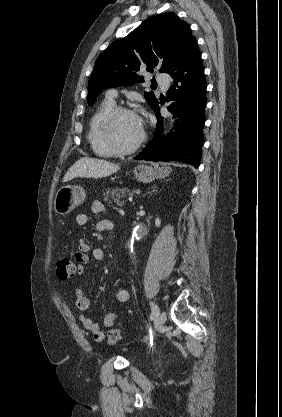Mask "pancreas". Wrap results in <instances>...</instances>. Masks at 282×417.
Here are the masks:
<instances>
[{
	"label": "pancreas",
	"instance_id": "cf45deb5",
	"mask_svg": "<svg viewBox=\"0 0 282 417\" xmlns=\"http://www.w3.org/2000/svg\"><path fill=\"white\" fill-rule=\"evenodd\" d=\"M103 194L104 200H112V202H116L118 206H122V204H124L123 198H126L128 194H133V192L132 190H129V188H107Z\"/></svg>",
	"mask_w": 282,
	"mask_h": 417
}]
</instances>
